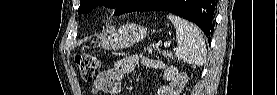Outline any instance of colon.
<instances>
[{"label": "colon", "mask_w": 277, "mask_h": 95, "mask_svg": "<svg viewBox=\"0 0 277 95\" xmlns=\"http://www.w3.org/2000/svg\"><path fill=\"white\" fill-rule=\"evenodd\" d=\"M76 64L81 77L88 83L94 82L99 66L97 57L93 54H81L76 57Z\"/></svg>", "instance_id": "colon-1"}]
</instances>
